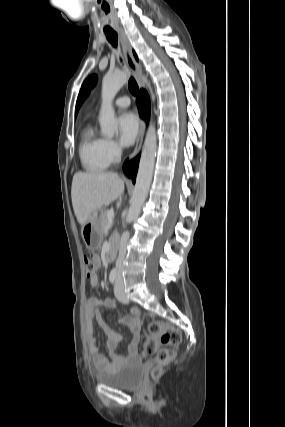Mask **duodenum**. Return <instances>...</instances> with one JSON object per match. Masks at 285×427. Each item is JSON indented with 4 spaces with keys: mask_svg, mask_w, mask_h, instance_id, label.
<instances>
[{
    "mask_svg": "<svg viewBox=\"0 0 285 427\" xmlns=\"http://www.w3.org/2000/svg\"><path fill=\"white\" fill-rule=\"evenodd\" d=\"M118 247V236L116 234L112 235V238L109 241L108 247H107V259L112 260L114 259Z\"/></svg>",
    "mask_w": 285,
    "mask_h": 427,
    "instance_id": "1",
    "label": "duodenum"
}]
</instances>
